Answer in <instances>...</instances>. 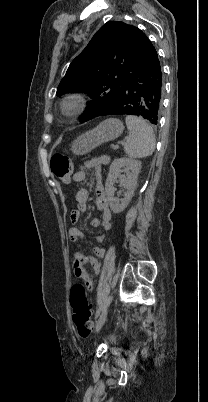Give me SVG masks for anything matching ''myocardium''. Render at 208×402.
<instances>
[{
  "label": "myocardium",
  "mask_w": 208,
  "mask_h": 402,
  "mask_svg": "<svg viewBox=\"0 0 208 402\" xmlns=\"http://www.w3.org/2000/svg\"><path fill=\"white\" fill-rule=\"evenodd\" d=\"M87 104L88 100L82 94H68L60 102L59 110L64 117H74L83 113Z\"/></svg>",
  "instance_id": "1"
}]
</instances>
